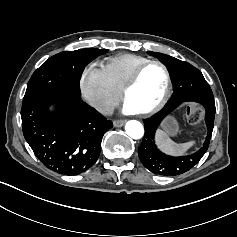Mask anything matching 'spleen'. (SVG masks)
<instances>
[{
  "label": "spleen",
  "mask_w": 237,
  "mask_h": 237,
  "mask_svg": "<svg viewBox=\"0 0 237 237\" xmlns=\"http://www.w3.org/2000/svg\"><path fill=\"white\" fill-rule=\"evenodd\" d=\"M155 141L161 151L172 156H180L185 154L187 150L195 144V141L177 144L170 139L166 132L160 129L156 132Z\"/></svg>",
  "instance_id": "spleen-1"
}]
</instances>
